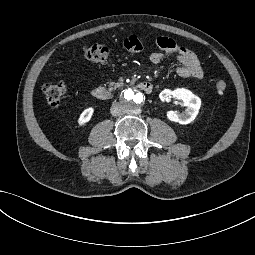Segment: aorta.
<instances>
[{
	"label": "aorta",
	"instance_id": "762f6f07",
	"mask_svg": "<svg viewBox=\"0 0 255 255\" xmlns=\"http://www.w3.org/2000/svg\"><path fill=\"white\" fill-rule=\"evenodd\" d=\"M123 100L131 108H140L145 101V96L135 88L125 90Z\"/></svg>",
	"mask_w": 255,
	"mask_h": 255
}]
</instances>
